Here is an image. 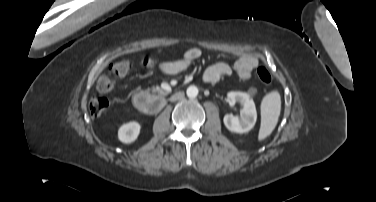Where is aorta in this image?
Listing matches in <instances>:
<instances>
[{
  "label": "aorta",
  "instance_id": "1",
  "mask_svg": "<svg viewBox=\"0 0 376 202\" xmlns=\"http://www.w3.org/2000/svg\"><path fill=\"white\" fill-rule=\"evenodd\" d=\"M186 94L189 98H195L198 95V88L196 86H189Z\"/></svg>",
  "mask_w": 376,
  "mask_h": 202
}]
</instances>
